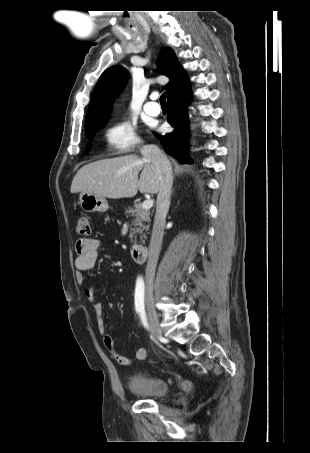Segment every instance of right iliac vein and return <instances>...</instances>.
<instances>
[{
	"mask_svg": "<svg viewBox=\"0 0 310 453\" xmlns=\"http://www.w3.org/2000/svg\"><path fill=\"white\" fill-rule=\"evenodd\" d=\"M145 304L147 317L152 327L153 336L158 339L159 337H161V329L159 327L158 315L154 307L153 288L150 284H148L146 287Z\"/></svg>",
	"mask_w": 310,
	"mask_h": 453,
	"instance_id": "obj_1",
	"label": "right iliac vein"
}]
</instances>
